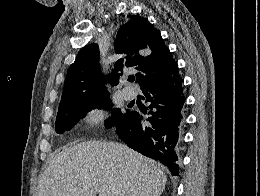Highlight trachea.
<instances>
[{"instance_id":"obj_1","label":"trachea","mask_w":260,"mask_h":196,"mask_svg":"<svg viewBox=\"0 0 260 196\" xmlns=\"http://www.w3.org/2000/svg\"><path fill=\"white\" fill-rule=\"evenodd\" d=\"M135 80V76L134 75H131L128 77V81L132 82Z\"/></svg>"}]
</instances>
